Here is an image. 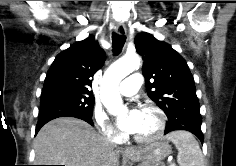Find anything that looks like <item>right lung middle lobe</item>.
Wrapping results in <instances>:
<instances>
[{
  "instance_id": "right-lung-middle-lobe-1",
  "label": "right lung middle lobe",
  "mask_w": 236,
  "mask_h": 166,
  "mask_svg": "<svg viewBox=\"0 0 236 166\" xmlns=\"http://www.w3.org/2000/svg\"><path fill=\"white\" fill-rule=\"evenodd\" d=\"M94 96L90 93L75 92L56 88L41 94L39 119L57 116L68 111L84 113L92 117Z\"/></svg>"
}]
</instances>
